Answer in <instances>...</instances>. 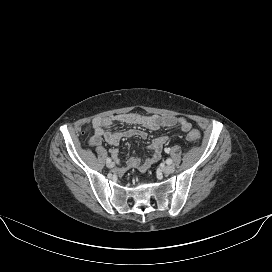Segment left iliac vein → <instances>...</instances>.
Listing matches in <instances>:
<instances>
[{"mask_svg":"<svg viewBox=\"0 0 272 272\" xmlns=\"http://www.w3.org/2000/svg\"><path fill=\"white\" fill-rule=\"evenodd\" d=\"M162 172L165 174H172L175 171L174 165H165L161 168Z\"/></svg>","mask_w":272,"mask_h":272,"instance_id":"4c4485c4","label":"left iliac vein"}]
</instances>
